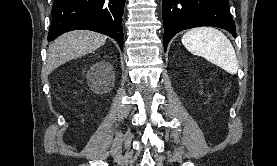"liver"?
Segmentation results:
<instances>
[{"label":"liver","instance_id":"liver-1","mask_svg":"<svg viewBox=\"0 0 277 166\" xmlns=\"http://www.w3.org/2000/svg\"><path fill=\"white\" fill-rule=\"evenodd\" d=\"M106 42V36L87 30H76L65 33L50 44L45 65L47 73L60 65L89 54Z\"/></svg>","mask_w":277,"mask_h":166}]
</instances>
